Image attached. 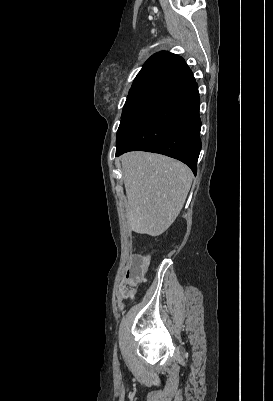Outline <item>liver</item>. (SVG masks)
<instances>
[{"mask_svg":"<svg viewBox=\"0 0 273 401\" xmlns=\"http://www.w3.org/2000/svg\"><path fill=\"white\" fill-rule=\"evenodd\" d=\"M121 164L131 231L151 237L162 235L186 201L193 178L190 168L153 152H126Z\"/></svg>","mask_w":273,"mask_h":401,"instance_id":"obj_1","label":"liver"}]
</instances>
